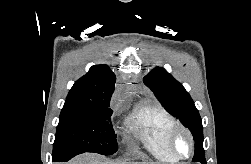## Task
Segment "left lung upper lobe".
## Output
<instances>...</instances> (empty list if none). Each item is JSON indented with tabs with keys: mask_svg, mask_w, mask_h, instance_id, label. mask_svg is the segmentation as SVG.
Instances as JSON below:
<instances>
[{
	"mask_svg": "<svg viewBox=\"0 0 251 164\" xmlns=\"http://www.w3.org/2000/svg\"><path fill=\"white\" fill-rule=\"evenodd\" d=\"M144 83L153 91L165 109L171 115L179 117L192 132L195 139V155L192 161L207 164L203 149L202 121L193 100L182 84L160 67L145 76Z\"/></svg>",
	"mask_w": 251,
	"mask_h": 164,
	"instance_id": "left-lung-upper-lobe-1",
	"label": "left lung upper lobe"
}]
</instances>
